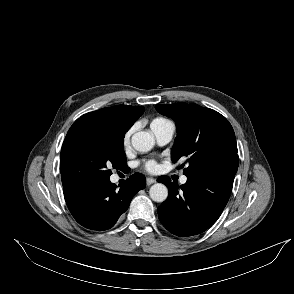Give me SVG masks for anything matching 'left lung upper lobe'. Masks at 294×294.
I'll return each instance as SVG.
<instances>
[{
    "label": "left lung upper lobe",
    "instance_id": "1",
    "mask_svg": "<svg viewBox=\"0 0 294 294\" xmlns=\"http://www.w3.org/2000/svg\"><path fill=\"white\" fill-rule=\"evenodd\" d=\"M156 109L176 123L171 158L173 162L184 160L181 167L186 166L183 173L187 177L203 173L225 156L237 155L233 128L215 110L183 102L156 105Z\"/></svg>",
    "mask_w": 294,
    "mask_h": 294
}]
</instances>
